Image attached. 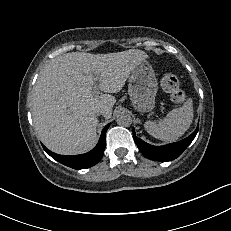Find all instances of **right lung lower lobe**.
Listing matches in <instances>:
<instances>
[{
    "label": "right lung lower lobe",
    "mask_w": 231,
    "mask_h": 231,
    "mask_svg": "<svg viewBox=\"0 0 231 231\" xmlns=\"http://www.w3.org/2000/svg\"><path fill=\"white\" fill-rule=\"evenodd\" d=\"M110 124L106 125L105 128L102 130L100 139L98 144L88 153L81 154V155H58L50 150H48L45 146H43L44 150L55 160L58 162L74 168V169H85L89 168L95 164H97L104 155L105 145H106V131Z\"/></svg>",
    "instance_id": "obj_1"
}]
</instances>
